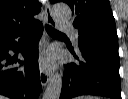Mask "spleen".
<instances>
[{
    "label": "spleen",
    "mask_w": 128,
    "mask_h": 99,
    "mask_svg": "<svg viewBox=\"0 0 128 99\" xmlns=\"http://www.w3.org/2000/svg\"><path fill=\"white\" fill-rule=\"evenodd\" d=\"M86 99H93L92 97H86Z\"/></svg>",
    "instance_id": "obj_1"
}]
</instances>
